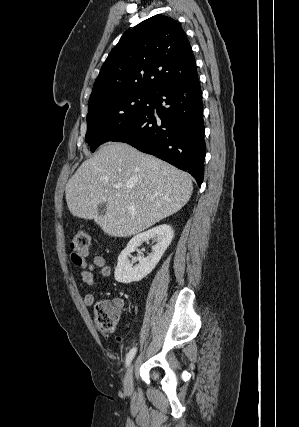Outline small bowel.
Returning <instances> with one entry per match:
<instances>
[{
    "label": "small bowel",
    "mask_w": 299,
    "mask_h": 427,
    "mask_svg": "<svg viewBox=\"0 0 299 427\" xmlns=\"http://www.w3.org/2000/svg\"><path fill=\"white\" fill-rule=\"evenodd\" d=\"M75 264L78 266L81 279L87 286H93L95 284L96 277L94 275V270L98 269V275L100 277H108L111 274V267L106 263V260L103 256H96L89 264L84 261L80 263L75 262ZM94 301L95 295L93 293H88L85 295L84 304L86 306L93 305ZM115 304H117L119 309L123 307V301L121 299H117Z\"/></svg>",
    "instance_id": "c3829d8e"
}]
</instances>
